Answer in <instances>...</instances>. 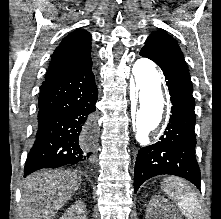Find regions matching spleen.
Segmentation results:
<instances>
[{"mask_svg":"<svg viewBox=\"0 0 221 219\" xmlns=\"http://www.w3.org/2000/svg\"><path fill=\"white\" fill-rule=\"evenodd\" d=\"M162 189L170 199L176 202L180 211L187 219H199L202 214L201 205L196 193L186 181L169 177L164 180Z\"/></svg>","mask_w":221,"mask_h":219,"instance_id":"spleen-1","label":"spleen"}]
</instances>
